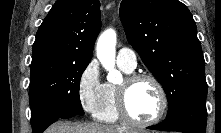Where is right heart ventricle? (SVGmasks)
Segmentation results:
<instances>
[{
  "label": "right heart ventricle",
  "mask_w": 221,
  "mask_h": 133,
  "mask_svg": "<svg viewBox=\"0 0 221 133\" xmlns=\"http://www.w3.org/2000/svg\"><path fill=\"white\" fill-rule=\"evenodd\" d=\"M118 66L126 74H130L133 71L124 66ZM117 87L118 86L112 82L104 84L102 99L94 114L97 120L111 124L121 120L117 108Z\"/></svg>",
  "instance_id": "right-heart-ventricle-1"
}]
</instances>
